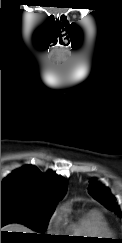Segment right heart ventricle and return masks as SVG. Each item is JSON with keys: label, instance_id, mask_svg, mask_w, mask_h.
I'll return each mask as SVG.
<instances>
[{"label": "right heart ventricle", "instance_id": "right-heart-ventricle-1", "mask_svg": "<svg viewBox=\"0 0 122 243\" xmlns=\"http://www.w3.org/2000/svg\"><path fill=\"white\" fill-rule=\"evenodd\" d=\"M64 215L68 219V209ZM67 232L82 237H107L112 234L106 219L96 210L81 212L74 220H69Z\"/></svg>", "mask_w": 122, "mask_h": 243}]
</instances>
